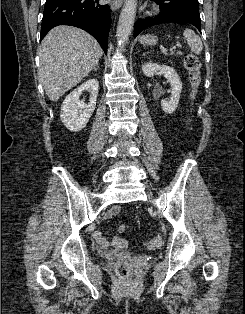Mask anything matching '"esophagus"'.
Segmentation results:
<instances>
[{"label":"esophagus","instance_id":"1","mask_svg":"<svg viewBox=\"0 0 245 314\" xmlns=\"http://www.w3.org/2000/svg\"><path fill=\"white\" fill-rule=\"evenodd\" d=\"M122 4V0H112L110 4V8L112 11H117Z\"/></svg>","mask_w":245,"mask_h":314}]
</instances>
